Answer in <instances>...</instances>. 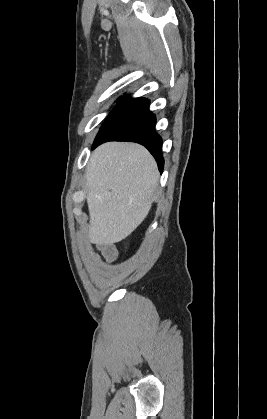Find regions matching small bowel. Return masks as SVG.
Masks as SVG:
<instances>
[{"mask_svg": "<svg viewBox=\"0 0 267 419\" xmlns=\"http://www.w3.org/2000/svg\"><path fill=\"white\" fill-rule=\"evenodd\" d=\"M98 249L109 263H114L117 261L118 251L113 244L105 242L100 244ZM92 257L95 262L98 261V257L96 255H93Z\"/></svg>", "mask_w": 267, "mask_h": 419, "instance_id": "small-bowel-1", "label": "small bowel"}]
</instances>
